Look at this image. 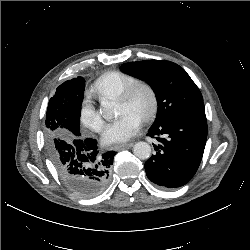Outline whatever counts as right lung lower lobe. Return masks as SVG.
I'll return each instance as SVG.
<instances>
[{"label": "right lung lower lobe", "mask_w": 250, "mask_h": 250, "mask_svg": "<svg viewBox=\"0 0 250 250\" xmlns=\"http://www.w3.org/2000/svg\"><path fill=\"white\" fill-rule=\"evenodd\" d=\"M115 151L99 153L97 141L75 137L62 140L51 158L65 184L82 198L94 197L109 183L110 167Z\"/></svg>", "instance_id": "1"}]
</instances>
